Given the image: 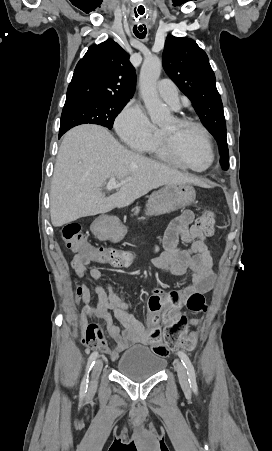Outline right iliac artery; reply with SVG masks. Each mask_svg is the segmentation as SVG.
<instances>
[{
  "label": "right iliac artery",
  "instance_id": "right-iliac-artery-1",
  "mask_svg": "<svg viewBox=\"0 0 272 451\" xmlns=\"http://www.w3.org/2000/svg\"><path fill=\"white\" fill-rule=\"evenodd\" d=\"M97 356H98V353L93 352L88 359L86 373H85V376H84V378L81 382V386H80V398H83L87 392L88 382H89V379H88L89 372L92 369V367L94 366Z\"/></svg>",
  "mask_w": 272,
  "mask_h": 451
}]
</instances>
